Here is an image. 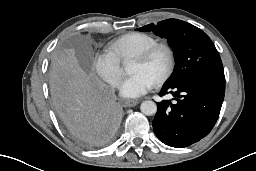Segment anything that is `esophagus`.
Returning <instances> with one entry per match:
<instances>
[{"mask_svg": "<svg viewBox=\"0 0 256 171\" xmlns=\"http://www.w3.org/2000/svg\"><path fill=\"white\" fill-rule=\"evenodd\" d=\"M138 104H139V100H135V99H128L125 101V106L127 107H134Z\"/></svg>", "mask_w": 256, "mask_h": 171, "instance_id": "34e87169", "label": "esophagus"}]
</instances>
